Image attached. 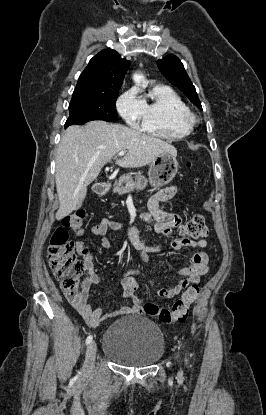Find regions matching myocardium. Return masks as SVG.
Listing matches in <instances>:
<instances>
[{
	"instance_id": "f54148a6",
	"label": "myocardium",
	"mask_w": 266,
	"mask_h": 415,
	"mask_svg": "<svg viewBox=\"0 0 266 415\" xmlns=\"http://www.w3.org/2000/svg\"><path fill=\"white\" fill-rule=\"evenodd\" d=\"M187 119L191 123H194L196 121V116H195V114H193L192 112L189 111L188 114H187Z\"/></svg>"
}]
</instances>
